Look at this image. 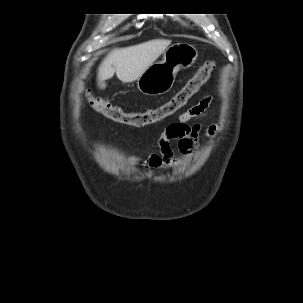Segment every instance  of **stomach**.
<instances>
[{"mask_svg":"<svg viewBox=\"0 0 303 303\" xmlns=\"http://www.w3.org/2000/svg\"><path fill=\"white\" fill-rule=\"evenodd\" d=\"M196 48L185 42L170 45L160 62L150 65L138 78L137 86L145 95H161L173 86L179 69L190 67L197 59Z\"/></svg>","mask_w":303,"mask_h":303,"instance_id":"obj_1","label":"stomach"}]
</instances>
